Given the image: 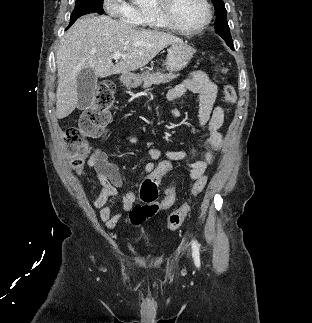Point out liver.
I'll list each match as a JSON object with an SVG mask.
<instances>
[{
	"mask_svg": "<svg viewBox=\"0 0 312 323\" xmlns=\"http://www.w3.org/2000/svg\"><path fill=\"white\" fill-rule=\"evenodd\" d=\"M177 42L182 40L173 34L139 30L110 16H82L63 36L56 52V118H66L77 108V76L81 70L93 68L97 78L128 74L143 68L161 50ZM114 52L129 54V58H120L114 66Z\"/></svg>",
	"mask_w": 312,
	"mask_h": 323,
	"instance_id": "obj_1",
	"label": "liver"
}]
</instances>
